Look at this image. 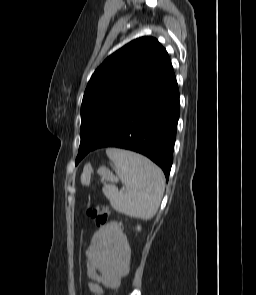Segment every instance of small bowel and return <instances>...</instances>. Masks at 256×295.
I'll return each mask as SVG.
<instances>
[{"mask_svg":"<svg viewBox=\"0 0 256 295\" xmlns=\"http://www.w3.org/2000/svg\"><path fill=\"white\" fill-rule=\"evenodd\" d=\"M131 250L118 221L112 220L96 231L86 248L88 288L102 295L101 285L116 288L129 271Z\"/></svg>","mask_w":256,"mask_h":295,"instance_id":"1","label":"small bowel"}]
</instances>
